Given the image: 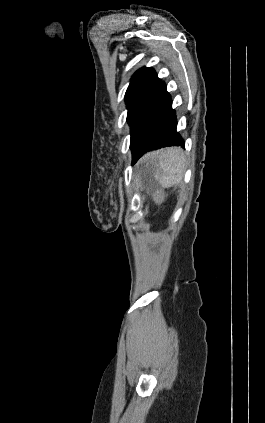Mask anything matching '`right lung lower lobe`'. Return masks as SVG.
I'll use <instances>...</instances> for the list:
<instances>
[{
	"instance_id": "98d812e1",
	"label": "right lung lower lobe",
	"mask_w": 265,
	"mask_h": 423,
	"mask_svg": "<svg viewBox=\"0 0 265 423\" xmlns=\"http://www.w3.org/2000/svg\"><path fill=\"white\" fill-rule=\"evenodd\" d=\"M176 113L172 100L161 82L150 93L131 124V144L134 164L145 152L165 146H183L184 141L176 131Z\"/></svg>"
}]
</instances>
